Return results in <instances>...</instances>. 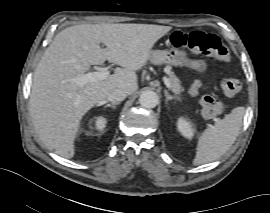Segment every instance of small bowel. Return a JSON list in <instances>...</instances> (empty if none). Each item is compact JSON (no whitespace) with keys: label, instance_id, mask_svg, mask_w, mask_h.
Returning a JSON list of instances; mask_svg holds the SVG:
<instances>
[{"label":"small bowel","instance_id":"c3829d8e","mask_svg":"<svg viewBox=\"0 0 270 213\" xmlns=\"http://www.w3.org/2000/svg\"><path fill=\"white\" fill-rule=\"evenodd\" d=\"M199 89H200V83L195 82L190 86L189 91L191 94H197Z\"/></svg>","mask_w":270,"mask_h":213}]
</instances>
